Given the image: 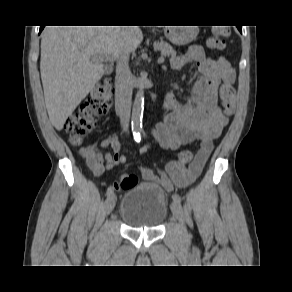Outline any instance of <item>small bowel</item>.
<instances>
[{"mask_svg": "<svg viewBox=\"0 0 292 292\" xmlns=\"http://www.w3.org/2000/svg\"><path fill=\"white\" fill-rule=\"evenodd\" d=\"M190 63L195 64L198 74L184 86L187 99L181 102L174 93L166 97L170 112L162 122L150 130L152 141L140 149L141 154L152 145L176 150L194 141H200L201 148L188 167L177 161H170L164 170L140 169L143 180L158 183L168 192L189 186L200 175L213 150V141L222 134L228 121L218 106V87L221 83L232 85L236 79L235 68L228 59L206 57L200 46L190 47L185 54L171 62L172 67L177 70ZM99 147L110 150L102 153L98 147H94L86 158L88 166L96 176L126 163L127 158L121 153V144L116 135L112 134L103 139Z\"/></svg>", "mask_w": 292, "mask_h": 292, "instance_id": "obj_1", "label": "small bowel"}]
</instances>
